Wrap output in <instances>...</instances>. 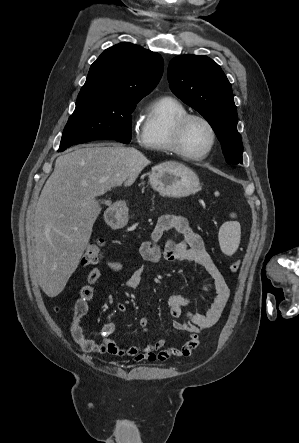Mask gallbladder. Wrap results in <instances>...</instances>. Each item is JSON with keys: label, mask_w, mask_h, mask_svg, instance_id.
I'll return each instance as SVG.
<instances>
[{"label": "gallbladder", "mask_w": 299, "mask_h": 443, "mask_svg": "<svg viewBox=\"0 0 299 443\" xmlns=\"http://www.w3.org/2000/svg\"><path fill=\"white\" fill-rule=\"evenodd\" d=\"M109 202L105 201V204H108Z\"/></svg>", "instance_id": "1"}]
</instances>
